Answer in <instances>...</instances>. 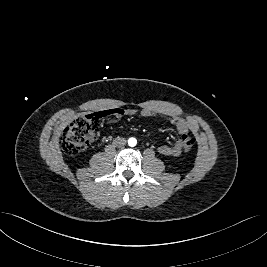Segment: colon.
Here are the masks:
<instances>
[{"label": "colon", "mask_w": 267, "mask_h": 267, "mask_svg": "<svg viewBox=\"0 0 267 267\" xmlns=\"http://www.w3.org/2000/svg\"><path fill=\"white\" fill-rule=\"evenodd\" d=\"M99 113L87 114L75 119L64 128L61 147L65 154L75 155L89 145L99 131ZM185 151H191L195 145V139L189 135L181 137Z\"/></svg>", "instance_id": "colon-1"}]
</instances>
